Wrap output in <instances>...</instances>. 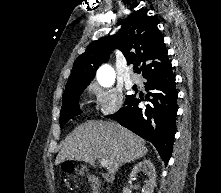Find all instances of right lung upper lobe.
<instances>
[{
	"label": "right lung upper lobe",
	"mask_w": 221,
	"mask_h": 193,
	"mask_svg": "<svg viewBox=\"0 0 221 193\" xmlns=\"http://www.w3.org/2000/svg\"><path fill=\"white\" fill-rule=\"evenodd\" d=\"M157 24L153 16L144 13L129 16L118 33L92 42L76 59L65 88L89 85L114 48L122 51L129 64L140 65L137 72L143 77L169 68L171 63Z\"/></svg>",
	"instance_id": "1"
}]
</instances>
